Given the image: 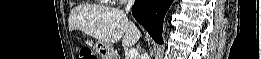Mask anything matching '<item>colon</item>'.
Segmentation results:
<instances>
[{
  "mask_svg": "<svg viewBox=\"0 0 261 59\" xmlns=\"http://www.w3.org/2000/svg\"><path fill=\"white\" fill-rule=\"evenodd\" d=\"M80 58L82 59H96L94 53L89 49H84L80 53Z\"/></svg>",
  "mask_w": 261,
  "mask_h": 59,
  "instance_id": "obj_1",
  "label": "colon"
}]
</instances>
